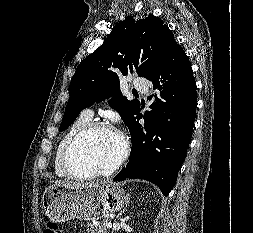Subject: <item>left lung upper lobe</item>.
Here are the masks:
<instances>
[{"label": "left lung upper lobe", "mask_w": 253, "mask_h": 233, "mask_svg": "<svg viewBox=\"0 0 253 233\" xmlns=\"http://www.w3.org/2000/svg\"><path fill=\"white\" fill-rule=\"evenodd\" d=\"M176 45L174 35L162 20L150 14L145 19L127 16L104 43L83 59L70 83V98L59 131L65 130L86 107L106 98L130 127L138 100L128 101L119 89V78L129 72L150 79L165 63Z\"/></svg>", "instance_id": "left-lung-upper-lobe-1"}]
</instances>
